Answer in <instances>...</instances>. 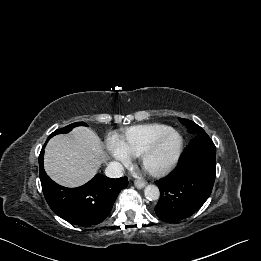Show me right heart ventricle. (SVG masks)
I'll return each instance as SVG.
<instances>
[{
  "label": "right heart ventricle",
  "instance_id": "e07e8e85",
  "mask_svg": "<svg viewBox=\"0 0 261 261\" xmlns=\"http://www.w3.org/2000/svg\"><path fill=\"white\" fill-rule=\"evenodd\" d=\"M168 129L169 126L159 123L132 126L117 142L128 156L137 157L158 135Z\"/></svg>",
  "mask_w": 261,
  "mask_h": 261
}]
</instances>
